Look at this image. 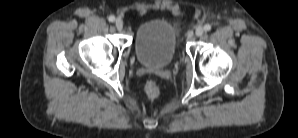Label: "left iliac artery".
Wrapping results in <instances>:
<instances>
[{"instance_id": "44dca946", "label": "left iliac artery", "mask_w": 298, "mask_h": 138, "mask_svg": "<svg viewBox=\"0 0 298 138\" xmlns=\"http://www.w3.org/2000/svg\"><path fill=\"white\" fill-rule=\"evenodd\" d=\"M211 25L210 24H206L205 26H204V30L207 32V31H210L211 30Z\"/></svg>"}]
</instances>
